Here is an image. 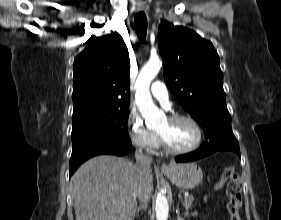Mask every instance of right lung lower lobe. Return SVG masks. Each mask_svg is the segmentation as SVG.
<instances>
[{
    "label": "right lung lower lobe",
    "mask_w": 281,
    "mask_h": 220,
    "mask_svg": "<svg viewBox=\"0 0 281 220\" xmlns=\"http://www.w3.org/2000/svg\"><path fill=\"white\" fill-rule=\"evenodd\" d=\"M130 147L131 144L126 143H109L84 145L77 149H74L72 150L70 159V177L76 171V169L87 159L103 154L122 156L129 151Z\"/></svg>",
    "instance_id": "right-lung-lower-lobe-1"
}]
</instances>
